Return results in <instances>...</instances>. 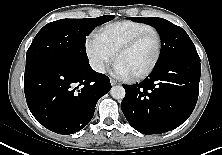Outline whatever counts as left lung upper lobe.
<instances>
[{"instance_id":"left-lung-upper-lobe-1","label":"left lung upper lobe","mask_w":222,"mask_h":155,"mask_svg":"<svg viewBox=\"0 0 222 155\" xmlns=\"http://www.w3.org/2000/svg\"><path fill=\"white\" fill-rule=\"evenodd\" d=\"M154 26L161 37V52L155 66L177 59L200 61L196 48L181 27L162 18L129 17Z\"/></svg>"}]
</instances>
